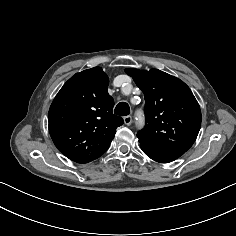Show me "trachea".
<instances>
[{
	"label": "trachea",
	"mask_w": 236,
	"mask_h": 236,
	"mask_svg": "<svg viewBox=\"0 0 236 236\" xmlns=\"http://www.w3.org/2000/svg\"><path fill=\"white\" fill-rule=\"evenodd\" d=\"M114 113L119 116H127L130 114L129 105L126 102H120L117 104Z\"/></svg>",
	"instance_id": "obj_1"
}]
</instances>
